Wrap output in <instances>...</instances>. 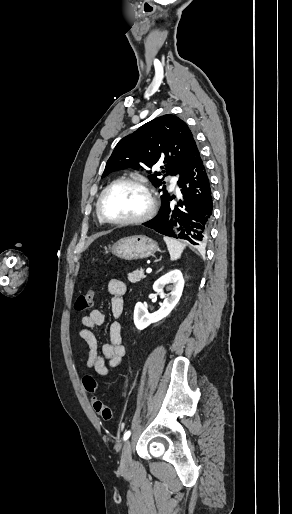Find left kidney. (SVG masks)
Wrapping results in <instances>:
<instances>
[{"instance_id": "left-kidney-1", "label": "left kidney", "mask_w": 292, "mask_h": 514, "mask_svg": "<svg viewBox=\"0 0 292 514\" xmlns=\"http://www.w3.org/2000/svg\"><path fill=\"white\" fill-rule=\"evenodd\" d=\"M172 284V286H168ZM163 288H166L167 292H170L169 296L164 294ZM184 288V280L180 270H172L168 272L159 280H156L153 290L159 294L160 298H164L163 304L154 314H149L147 306L138 302L134 310V324L138 330H144L150 324H155L159 320H163L166 316H169L176 304H178Z\"/></svg>"}]
</instances>
